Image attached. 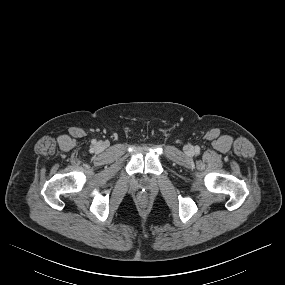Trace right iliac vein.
Masks as SVG:
<instances>
[{
    "instance_id": "obj_1",
    "label": "right iliac vein",
    "mask_w": 285,
    "mask_h": 285,
    "mask_svg": "<svg viewBox=\"0 0 285 285\" xmlns=\"http://www.w3.org/2000/svg\"><path fill=\"white\" fill-rule=\"evenodd\" d=\"M105 148V145L103 143H100L97 145V149L103 150Z\"/></svg>"
}]
</instances>
